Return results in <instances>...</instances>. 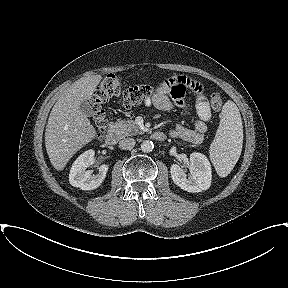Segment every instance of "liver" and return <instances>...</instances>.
I'll use <instances>...</instances> for the list:
<instances>
[{
  "instance_id": "6515ba94",
  "label": "liver",
  "mask_w": 288,
  "mask_h": 288,
  "mask_svg": "<svg viewBox=\"0 0 288 288\" xmlns=\"http://www.w3.org/2000/svg\"><path fill=\"white\" fill-rule=\"evenodd\" d=\"M101 75L83 77L68 87L53 106L45 131V146L53 167L61 171L83 146L96 137V130L81 109L92 98Z\"/></svg>"
}]
</instances>
